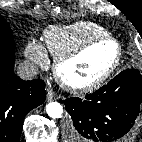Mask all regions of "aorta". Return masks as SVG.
<instances>
[{"instance_id":"aorta-1","label":"aorta","mask_w":142,"mask_h":142,"mask_svg":"<svg viewBox=\"0 0 142 142\" xmlns=\"http://www.w3.org/2000/svg\"><path fill=\"white\" fill-rule=\"evenodd\" d=\"M46 112L48 116L53 119L61 118L63 113V107L58 102H50L46 106Z\"/></svg>"}]
</instances>
